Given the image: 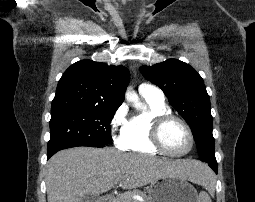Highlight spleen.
<instances>
[{
    "label": "spleen",
    "instance_id": "3e777b00",
    "mask_svg": "<svg viewBox=\"0 0 255 202\" xmlns=\"http://www.w3.org/2000/svg\"><path fill=\"white\" fill-rule=\"evenodd\" d=\"M200 181L199 184L204 186L209 193H213L215 189V180L213 173L208 168H199ZM199 202H212L207 192L201 191L199 194Z\"/></svg>",
    "mask_w": 255,
    "mask_h": 202
}]
</instances>
